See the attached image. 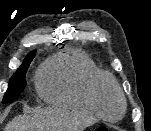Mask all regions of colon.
I'll list each match as a JSON object with an SVG mask.
<instances>
[{
	"instance_id": "colon-1",
	"label": "colon",
	"mask_w": 151,
	"mask_h": 131,
	"mask_svg": "<svg viewBox=\"0 0 151 131\" xmlns=\"http://www.w3.org/2000/svg\"><path fill=\"white\" fill-rule=\"evenodd\" d=\"M94 131H117V130L106 126H99Z\"/></svg>"
}]
</instances>
